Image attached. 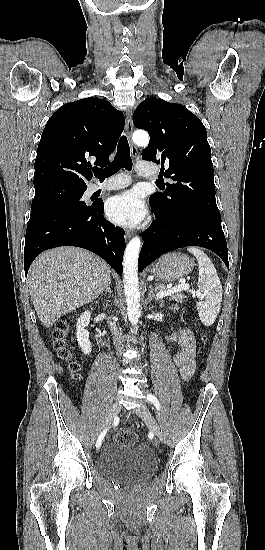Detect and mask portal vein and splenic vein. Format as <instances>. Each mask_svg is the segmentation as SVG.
Here are the masks:
<instances>
[{"label": "portal vein and splenic vein", "mask_w": 265, "mask_h": 550, "mask_svg": "<svg viewBox=\"0 0 265 550\" xmlns=\"http://www.w3.org/2000/svg\"><path fill=\"white\" fill-rule=\"evenodd\" d=\"M189 289H190V286L188 284H186L185 282H183L179 285L174 286L172 289H168L166 291L158 292L156 296H157V298H164V297L169 296L173 293L181 292L183 290H189ZM196 296L201 297V294L199 292H196Z\"/></svg>", "instance_id": "obj_1"}]
</instances>
